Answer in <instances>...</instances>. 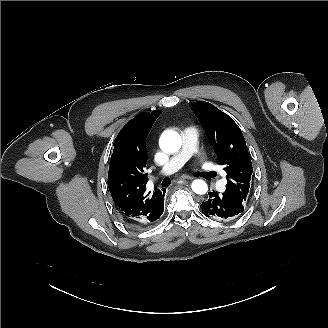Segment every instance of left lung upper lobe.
Returning a JSON list of instances; mask_svg holds the SVG:
<instances>
[{
  "mask_svg": "<svg viewBox=\"0 0 328 328\" xmlns=\"http://www.w3.org/2000/svg\"><path fill=\"white\" fill-rule=\"evenodd\" d=\"M190 107L213 145L218 164L222 165L227 173L224 194L242 204L245 203L253 168L240 128L230 116L208 102H194Z\"/></svg>",
  "mask_w": 328,
  "mask_h": 328,
  "instance_id": "obj_1",
  "label": "left lung upper lobe"
}]
</instances>
